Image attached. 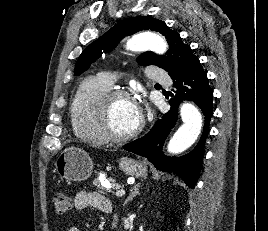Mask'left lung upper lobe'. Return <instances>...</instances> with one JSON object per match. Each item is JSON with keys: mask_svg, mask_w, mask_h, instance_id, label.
<instances>
[{"mask_svg": "<svg viewBox=\"0 0 268 231\" xmlns=\"http://www.w3.org/2000/svg\"><path fill=\"white\" fill-rule=\"evenodd\" d=\"M153 30L161 33L167 39L169 50L166 55H157L153 52H145L138 62L144 65H156L172 75L183 70L187 64L195 58L189 45L182 41L177 31L171 30L165 22L151 16L126 18L112 27L98 40L91 43L79 56L76 63L75 75H80L87 70L92 62L104 52L117 45L118 41L126 35L134 34L141 30Z\"/></svg>", "mask_w": 268, "mask_h": 231, "instance_id": "5c2ea615", "label": "left lung upper lobe"}]
</instances>
